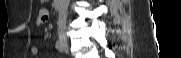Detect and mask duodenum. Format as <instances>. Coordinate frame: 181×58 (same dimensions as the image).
Returning <instances> with one entry per match:
<instances>
[{
    "mask_svg": "<svg viewBox=\"0 0 181 58\" xmlns=\"http://www.w3.org/2000/svg\"><path fill=\"white\" fill-rule=\"evenodd\" d=\"M53 4L56 10H61L62 5H63V0H54Z\"/></svg>",
    "mask_w": 181,
    "mask_h": 58,
    "instance_id": "obj_1",
    "label": "duodenum"
}]
</instances>
